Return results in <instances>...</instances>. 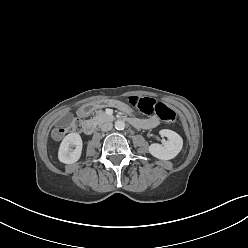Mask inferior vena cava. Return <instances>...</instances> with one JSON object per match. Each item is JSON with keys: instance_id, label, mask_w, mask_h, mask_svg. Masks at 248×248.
<instances>
[{"instance_id": "1", "label": "inferior vena cava", "mask_w": 248, "mask_h": 248, "mask_svg": "<svg viewBox=\"0 0 248 248\" xmlns=\"http://www.w3.org/2000/svg\"><path fill=\"white\" fill-rule=\"evenodd\" d=\"M113 127L112 122H105L104 124L101 125V130L102 131H110Z\"/></svg>"}]
</instances>
